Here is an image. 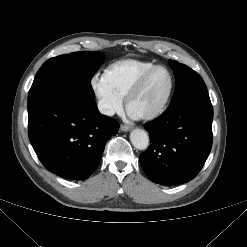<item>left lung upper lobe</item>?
<instances>
[{
  "label": "left lung upper lobe",
  "mask_w": 247,
  "mask_h": 247,
  "mask_svg": "<svg viewBox=\"0 0 247 247\" xmlns=\"http://www.w3.org/2000/svg\"><path fill=\"white\" fill-rule=\"evenodd\" d=\"M169 64L173 68L176 78V87L169 106L192 99L209 97L205 83L197 72L173 60H169Z\"/></svg>",
  "instance_id": "left-lung-upper-lobe-1"
}]
</instances>
